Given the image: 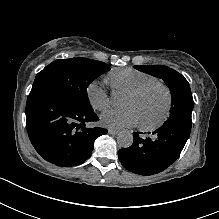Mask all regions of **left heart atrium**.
<instances>
[{
	"label": "left heart atrium",
	"mask_w": 219,
	"mask_h": 219,
	"mask_svg": "<svg viewBox=\"0 0 219 219\" xmlns=\"http://www.w3.org/2000/svg\"><path fill=\"white\" fill-rule=\"evenodd\" d=\"M140 122L138 113L131 107L108 110L101 115V123L107 128L120 129Z\"/></svg>",
	"instance_id": "obj_1"
}]
</instances>
